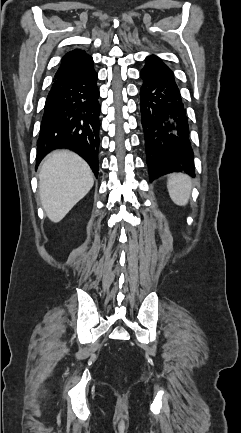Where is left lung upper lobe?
<instances>
[{"mask_svg":"<svg viewBox=\"0 0 241 433\" xmlns=\"http://www.w3.org/2000/svg\"><path fill=\"white\" fill-rule=\"evenodd\" d=\"M146 65H164L166 66L159 57L155 56V55H150L146 58Z\"/></svg>","mask_w":241,"mask_h":433,"instance_id":"obj_1","label":"left lung upper lobe"}]
</instances>
